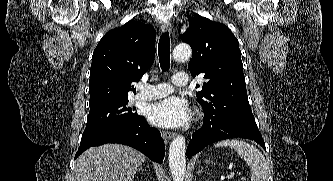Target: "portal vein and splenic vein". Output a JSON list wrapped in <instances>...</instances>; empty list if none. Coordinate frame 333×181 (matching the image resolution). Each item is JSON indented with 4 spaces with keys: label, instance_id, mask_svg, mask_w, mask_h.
I'll return each instance as SVG.
<instances>
[{
    "label": "portal vein and splenic vein",
    "instance_id": "18ae733b",
    "mask_svg": "<svg viewBox=\"0 0 333 181\" xmlns=\"http://www.w3.org/2000/svg\"><path fill=\"white\" fill-rule=\"evenodd\" d=\"M234 177V173H230L229 175L226 176V178L229 180V179H232Z\"/></svg>",
    "mask_w": 333,
    "mask_h": 181
}]
</instances>
